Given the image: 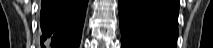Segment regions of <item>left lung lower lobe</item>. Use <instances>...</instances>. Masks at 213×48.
<instances>
[{"instance_id": "left-lung-lower-lobe-1", "label": "left lung lower lobe", "mask_w": 213, "mask_h": 48, "mask_svg": "<svg viewBox=\"0 0 213 48\" xmlns=\"http://www.w3.org/2000/svg\"><path fill=\"white\" fill-rule=\"evenodd\" d=\"M179 0H119L122 48H176Z\"/></svg>"}]
</instances>
